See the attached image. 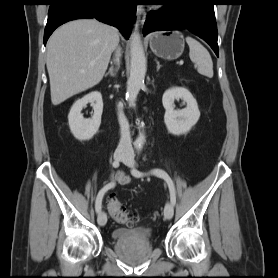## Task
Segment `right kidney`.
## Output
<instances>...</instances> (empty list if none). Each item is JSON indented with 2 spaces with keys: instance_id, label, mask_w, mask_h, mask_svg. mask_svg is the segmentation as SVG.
Segmentation results:
<instances>
[{
  "instance_id": "right-kidney-1",
  "label": "right kidney",
  "mask_w": 278,
  "mask_h": 278,
  "mask_svg": "<svg viewBox=\"0 0 278 278\" xmlns=\"http://www.w3.org/2000/svg\"><path fill=\"white\" fill-rule=\"evenodd\" d=\"M90 103L94 114L91 119H85L81 114L83 107ZM103 112L102 95L98 91H93L81 99H78L68 115V123L71 133L80 141L90 140L98 131L101 124Z\"/></svg>"
}]
</instances>
